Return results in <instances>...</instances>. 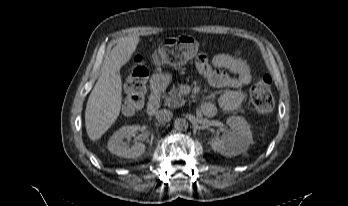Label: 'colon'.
Here are the masks:
<instances>
[{"instance_id": "obj_1", "label": "colon", "mask_w": 348, "mask_h": 206, "mask_svg": "<svg viewBox=\"0 0 348 206\" xmlns=\"http://www.w3.org/2000/svg\"><path fill=\"white\" fill-rule=\"evenodd\" d=\"M192 45L193 43L185 37L166 39L155 50L153 60L158 64L180 65L192 55ZM147 77L148 69L143 59L135 57L128 74L127 95L123 104L125 112L132 114L143 107ZM250 99L258 112L268 113L272 111L274 97L268 78H263L251 88Z\"/></svg>"}]
</instances>
